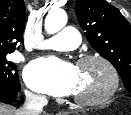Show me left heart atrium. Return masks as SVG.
Masks as SVG:
<instances>
[{"label":"left heart atrium","mask_w":131,"mask_h":115,"mask_svg":"<svg viewBox=\"0 0 131 115\" xmlns=\"http://www.w3.org/2000/svg\"><path fill=\"white\" fill-rule=\"evenodd\" d=\"M24 78L27 85L36 91L66 96L73 94L76 89L77 69L56 57H43L26 67Z\"/></svg>","instance_id":"left-heart-atrium-1"}]
</instances>
